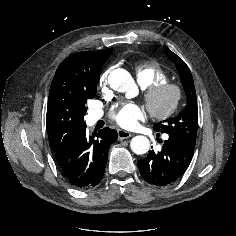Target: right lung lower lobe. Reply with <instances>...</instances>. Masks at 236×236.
Returning a JSON list of instances; mask_svg holds the SVG:
<instances>
[{
  "label": "right lung lower lobe",
  "instance_id": "right-lung-lower-lobe-1",
  "mask_svg": "<svg viewBox=\"0 0 236 236\" xmlns=\"http://www.w3.org/2000/svg\"><path fill=\"white\" fill-rule=\"evenodd\" d=\"M117 137L116 130L108 127L88 137L86 125L81 127L64 154L57 158L68 182L79 189L96 186L103 176L110 145Z\"/></svg>",
  "mask_w": 236,
  "mask_h": 236
}]
</instances>
